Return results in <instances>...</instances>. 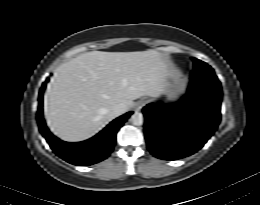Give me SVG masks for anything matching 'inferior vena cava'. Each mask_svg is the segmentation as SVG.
Returning <instances> with one entry per match:
<instances>
[{
  "mask_svg": "<svg viewBox=\"0 0 260 205\" xmlns=\"http://www.w3.org/2000/svg\"><path fill=\"white\" fill-rule=\"evenodd\" d=\"M126 111H127V107H126V105H124V104H118V105L114 106V107L112 108V110H111L112 115H113L114 117L120 116V115H122L123 113H125Z\"/></svg>",
  "mask_w": 260,
  "mask_h": 205,
  "instance_id": "obj_1",
  "label": "inferior vena cava"
}]
</instances>
